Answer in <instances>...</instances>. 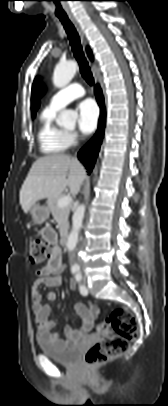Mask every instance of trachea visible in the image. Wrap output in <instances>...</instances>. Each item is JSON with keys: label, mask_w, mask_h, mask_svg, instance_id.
Returning <instances> with one entry per match:
<instances>
[{"label": "trachea", "mask_w": 168, "mask_h": 406, "mask_svg": "<svg viewBox=\"0 0 168 406\" xmlns=\"http://www.w3.org/2000/svg\"><path fill=\"white\" fill-rule=\"evenodd\" d=\"M59 19L67 33L72 51L74 53L76 60L78 61L82 77L86 80V82L89 85H93L94 79H93L90 67L88 65V62L82 51V46L80 44V38H79L78 32L76 31V28L74 27V25L68 18L59 17Z\"/></svg>", "instance_id": "trachea-1"}]
</instances>
